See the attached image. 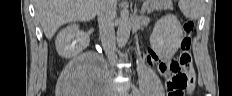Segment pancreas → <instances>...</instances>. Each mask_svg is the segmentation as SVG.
I'll list each match as a JSON object with an SVG mask.
<instances>
[{"mask_svg": "<svg viewBox=\"0 0 232 96\" xmlns=\"http://www.w3.org/2000/svg\"><path fill=\"white\" fill-rule=\"evenodd\" d=\"M172 8V4H162V3H157L155 5H152L148 8L149 11H153V10H162V9H171Z\"/></svg>", "mask_w": 232, "mask_h": 96, "instance_id": "1", "label": "pancreas"}]
</instances>
